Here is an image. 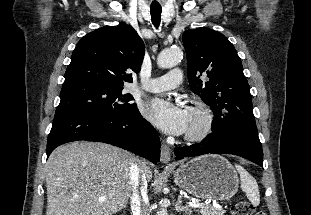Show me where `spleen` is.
Returning <instances> with one entry per match:
<instances>
[{"instance_id": "spleen-1", "label": "spleen", "mask_w": 311, "mask_h": 215, "mask_svg": "<svg viewBox=\"0 0 311 215\" xmlns=\"http://www.w3.org/2000/svg\"><path fill=\"white\" fill-rule=\"evenodd\" d=\"M236 170L240 175L241 189L246 193L247 198L252 205L257 206L260 203V194L258 184L253 176L249 174L242 166L235 165Z\"/></svg>"}]
</instances>
